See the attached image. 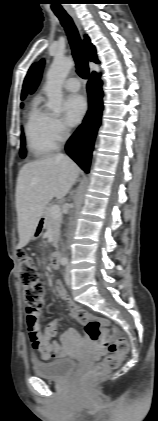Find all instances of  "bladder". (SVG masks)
I'll list each match as a JSON object with an SVG mask.
<instances>
[{
	"instance_id": "obj_1",
	"label": "bladder",
	"mask_w": 158,
	"mask_h": 421,
	"mask_svg": "<svg viewBox=\"0 0 158 421\" xmlns=\"http://www.w3.org/2000/svg\"><path fill=\"white\" fill-rule=\"evenodd\" d=\"M77 362L70 357H59L52 361H35L33 372L41 377L52 380H62L68 377L76 368Z\"/></svg>"
}]
</instances>
